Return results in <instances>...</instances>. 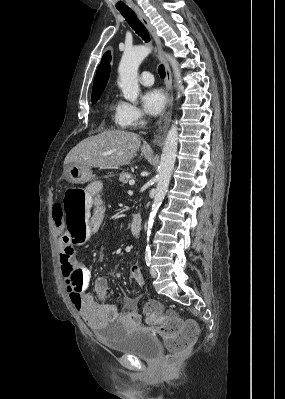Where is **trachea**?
Returning a JSON list of instances; mask_svg holds the SVG:
<instances>
[{
	"mask_svg": "<svg viewBox=\"0 0 285 399\" xmlns=\"http://www.w3.org/2000/svg\"><path fill=\"white\" fill-rule=\"evenodd\" d=\"M121 15L125 18L132 29L145 41L149 42V33L143 23L137 18L136 14L131 9L119 10ZM158 73L161 78H165V68L163 65L158 67Z\"/></svg>",
	"mask_w": 285,
	"mask_h": 399,
	"instance_id": "1",
	"label": "trachea"
}]
</instances>
